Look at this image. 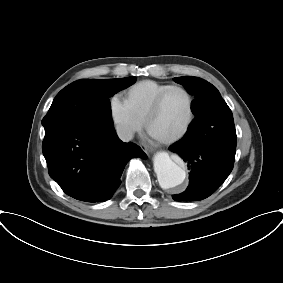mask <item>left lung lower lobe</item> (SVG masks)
I'll use <instances>...</instances> for the list:
<instances>
[{
    "instance_id": "1",
    "label": "left lung lower lobe",
    "mask_w": 283,
    "mask_h": 283,
    "mask_svg": "<svg viewBox=\"0 0 283 283\" xmlns=\"http://www.w3.org/2000/svg\"><path fill=\"white\" fill-rule=\"evenodd\" d=\"M214 116L201 111L192 121L185 136L172 146L170 150L177 153L190 170L189 186L181 194L173 195L175 201L202 200L214 193L231 173L234 165L236 145L211 142L208 138L209 123L218 124L216 117L225 107L223 99L211 102Z\"/></svg>"
}]
</instances>
